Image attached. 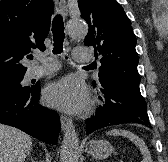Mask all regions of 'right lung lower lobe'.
Segmentation results:
<instances>
[{
	"label": "right lung lower lobe",
	"instance_id": "98d812e1",
	"mask_svg": "<svg viewBox=\"0 0 168 162\" xmlns=\"http://www.w3.org/2000/svg\"><path fill=\"white\" fill-rule=\"evenodd\" d=\"M40 85H21L0 89V123L16 127L27 134L55 145L60 131L57 113L41 106Z\"/></svg>",
	"mask_w": 168,
	"mask_h": 162
}]
</instances>
